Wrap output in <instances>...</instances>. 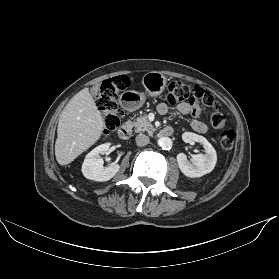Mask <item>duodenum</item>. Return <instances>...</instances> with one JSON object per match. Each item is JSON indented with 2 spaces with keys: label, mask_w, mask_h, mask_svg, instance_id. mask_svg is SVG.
<instances>
[{
  "label": "duodenum",
  "mask_w": 279,
  "mask_h": 279,
  "mask_svg": "<svg viewBox=\"0 0 279 279\" xmlns=\"http://www.w3.org/2000/svg\"><path fill=\"white\" fill-rule=\"evenodd\" d=\"M119 138L127 140L131 136V127L128 124H123L117 131ZM173 134V129L170 126H166L159 131L160 137H169Z\"/></svg>",
  "instance_id": "1"
}]
</instances>
